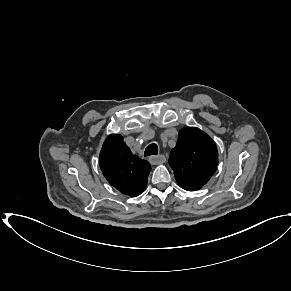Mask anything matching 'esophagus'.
<instances>
[{
	"instance_id": "obj_1",
	"label": "esophagus",
	"mask_w": 291,
	"mask_h": 291,
	"mask_svg": "<svg viewBox=\"0 0 291 291\" xmlns=\"http://www.w3.org/2000/svg\"><path fill=\"white\" fill-rule=\"evenodd\" d=\"M149 161L153 165L161 164L166 161V157L164 155H153L149 158Z\"/></svg>"
}]
</instances>
